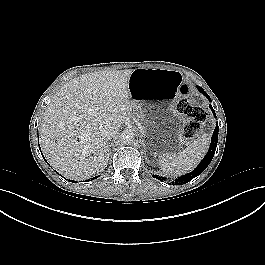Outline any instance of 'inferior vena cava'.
Listing matches in <instances>:
<instances>
[{
    "instance_id": "1",
    "label": "inferior vena cava",
    "mask_w": 265,
    "mask_h": 265,
    "mask_svg": "<svg viewBox=\"0 0 265 265\" xmlns=\"http://www.w3.org/2000/svg\"><path fill=\"white\" fill-rule=\"evenodd\" d=\"M117 132L118 129L110 125H105L101 130V134L105 139L113 138L117 134Z\"/></svg>"
}]
</instances>
